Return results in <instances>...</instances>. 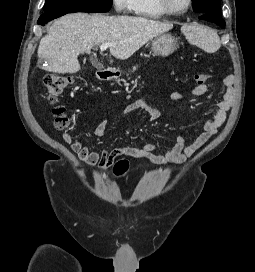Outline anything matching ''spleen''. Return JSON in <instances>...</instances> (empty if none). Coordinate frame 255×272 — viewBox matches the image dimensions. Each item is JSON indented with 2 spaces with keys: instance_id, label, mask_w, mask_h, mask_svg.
I'll return each mask as SVG.
<instances>
[{
  "instance_id": "3e777b00",
  "label": "spleen",
  "mask_w": 255,
  "mask_h": 272,
  "mask_svg": "<svg viewBox=\"0 0 255 272\" xmlns=\"http://www.w3.org/2000/svg\"><path fill=\"white\" fill-rule=\"evenodd\" d=\"M181 31L190 44L196 45L208 53L216 52L221 46L218 34L207 26L184 25Z\"/></svg>"
}]
</instances>
